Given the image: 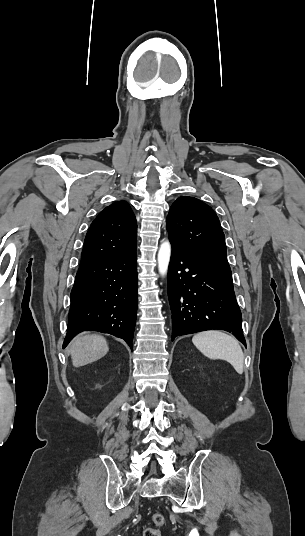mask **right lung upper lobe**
<instances>
[{"mask_svg":"<svg viewBox=\"0 0 305 536\" xmlns=\"http://www.w3.org/2000/svg\"><path fill=\"white\" fill-rule=\"evenodd\" d=\"M136 233V218L127 202L119 201L107 206L86 234L80 265L135 251Z\"/></svg>","mask_w":305,"mask_h":536,"instance_id":"right-lung-upper-lobe-1","label":"right lung upper lobe"}]
</instances>
